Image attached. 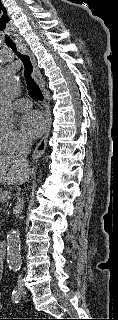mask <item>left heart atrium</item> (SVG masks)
<instances>
[{"mask_svg": "<svg viewBox=\"0 0 118 320\" xmlns=\"http://www.w3.org/2000/svg\"><path fill=\"white\" fill-rule=\"evenodd\" d=\"M22 132L29 138L39 137L46 128L44 116L36 110L27 112L20 120Z\"/></svg>", "mask_w": 118, "mask_h": 320, "instance_id": "left-heart-atrium-1", "label": "left heart atrium"}]
</instances>
